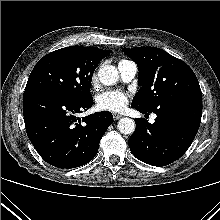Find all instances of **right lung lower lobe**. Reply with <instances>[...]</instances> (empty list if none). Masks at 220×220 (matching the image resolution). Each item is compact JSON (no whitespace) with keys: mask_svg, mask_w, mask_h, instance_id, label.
Segmentation results:
<instances>
[{"mask_svg":"<svg viewBox=\"0 0 220 220\" xmlns=\"http://www.w3.org/2000/svg\"><path fill=\"white\" fill-rule=\"evenodd\" d=\"M93 98L75 100L48 90H26L23 114L27 135L39 155L58 168H75L90 162L113 116L108 111L79 119Z\"/></svg>","mask_w":220,"mask_h":220,"instance_id":"obj_1","label":"right lung lower lobe"}]
</instances>
